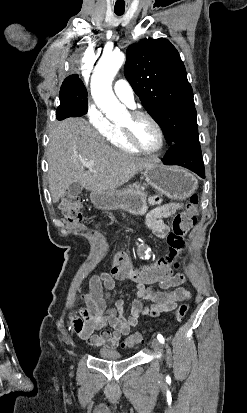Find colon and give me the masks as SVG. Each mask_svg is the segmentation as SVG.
<instances>
[{"label":"colon","instance_id":"obj_1","mask_svg":"<svg viewBox=\"0 0 247 413\" xmlns=\"http://www.w3.org/2000/svg\"><path fill=\"white\" fill-rule=\"evenodd\" d=\"M197 205L198 196L192 194L186 209L175 216L172 222L174 230L165 235V240L170 247L166 254L168 259H159L156 263L148 265L146 272L142 275L135 272L134 266L136 263L129 262L123 250L118 249L113 244L107 245L104 249V258L113 267V275L116 278L132 275L141 283H149L155 278L166 276L169 273L170 263L174 264L176 262L173 254H176L178 250L181 252L186 250L182 238L189 233V227H194L197 223ZM60 210L68 222H79L82 220V201L76 196L65 195L60 202ZM189 309V304L179 305L173 313V320L175 322L182 320L188 314ZM142 337L143 333L138 331L123 341L121 347L127 348L139 344L143 340Z\"/></svg>","mask_w":247,"mask_h":413}]
</instances>
